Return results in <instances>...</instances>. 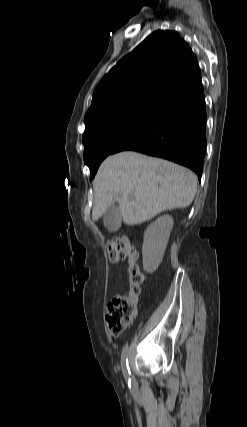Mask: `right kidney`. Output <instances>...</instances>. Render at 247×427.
<instances>
[{"label":"right kidney","mask_w":247,"mask_h":427,"mask_svg":"<svg viewBox=\"0 0 247 427\" xmlns=\"http://www.w3.org/2000/svg\"><path fill=\"white\" fill-rule=\"evenodd\" d=\"M173 229V218L164 215L150 224L144 233L142 246L143 269L147 273L156 271L162 262L170 233Z\"/></svg>","instance_id":"1"}]
</instances>
